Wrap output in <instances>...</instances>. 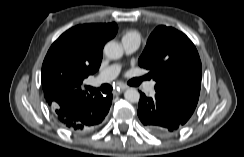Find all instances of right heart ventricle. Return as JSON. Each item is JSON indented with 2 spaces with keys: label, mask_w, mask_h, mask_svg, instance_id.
I'll list each match as a JSON object with an SVG mask.
<instances>
[{
  "label": "right heart ventricle",
  "mask_w": 244,
  "mask_h": 157,
  "mask_svg": "<svg viewBox=\"0 0 244 157\" xmlns=\"http://www.w3.org/2000/svg\"><path fill=\"white\" fill-rule=\"evenodd\" d=\"M140 34L139 32L135 31V30H129L127 31L123 37H122V40L123 39H136L138 41H140Z\"/></svg>",
  "instance_id": "right-heart-ventricle-1"
}]
</instances>
